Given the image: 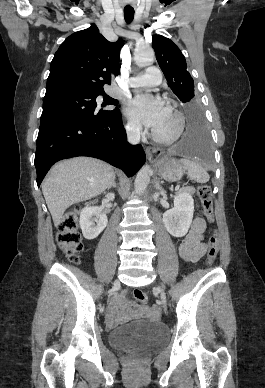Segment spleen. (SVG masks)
<instances>
[{
    "label": "spleen",
    "instance_id": "1",
    "mask_svg": "<svg viewBox=\"0 0 265 388\" xmlns=\"http://www.w3.org/2000/svg\"><path fill=\"white\" fill-rule=\"evenodd\" d=\"M181 164H183L185 170H187V174L190 180H196L198 184H205L208 182L209 176L197 162H191V160H187V158H182L180 160Z\"/></svg>",
    "mask_w": 265,
    "mask_h": 388
}]
</instances>
